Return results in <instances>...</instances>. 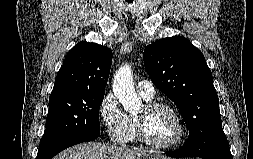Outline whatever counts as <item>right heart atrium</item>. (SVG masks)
Segmentation results:
<instances>
[{
	"label": "right heart atrium",
	"mask_w": 253,
	"mask_h": 159,
	"mask_svg": "<svg viewBox=\"0 0 253 159\" xmlns=\"http://www.w3.org/2000/svg\"><path fill=\"white\" fill-rule=\"evenodd\" d=\"M98 113L108 139L119 145L126 144L129 140V116L112 93L102 98Z\"/></svg>",
	"instance_id": "right-heart-atrium-1"
}]
</instances>
